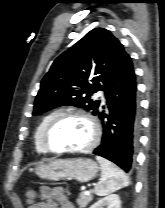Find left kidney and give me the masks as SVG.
<instances>
[{"instance_id": "obj_1", "label": "left kidney", "mask_w": 165, "mask_h": 208, "mask_svg": "<svg viewBox=\"0 0 165 208\" xmlns=\"http://www.w3.org/2000/svg\"><path fill=\"white\" fill-rule=\"evenodd\" d=\"M89 208H121L120 197L117 194L108 195Z\"/></svg>"}]
</instances>
